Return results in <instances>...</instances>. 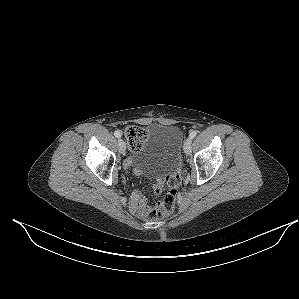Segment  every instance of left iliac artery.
Here are the masks:
<instances>
[{"mask_svg":"<svg viewBox=\"0 0 299 299\" xmlns=\"http://www.w3.org/2000/svg\"><path fill=\"white\" fill-rule=\"evenodd\" d=\"M196 135H197V131H196V130H192V131L190 132L189 137H190L191 139H193Z\"/></svg>","mask_w":299,"mask_h":299,"instance_id":"1","label":"left iliac artery"}]
</instances>
